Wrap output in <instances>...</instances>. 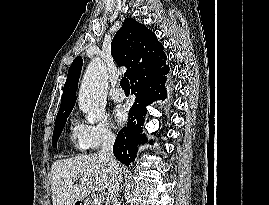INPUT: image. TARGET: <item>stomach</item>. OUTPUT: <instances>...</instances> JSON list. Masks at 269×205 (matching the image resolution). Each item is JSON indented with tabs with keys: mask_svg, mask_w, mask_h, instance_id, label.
I'll list each match as a JSON object with an SVG mask.
<instances>
[{
	"mask_svg": "<svg viewBox=\"0 0 269 205\" xmlns=\"http://www.w3.org/2000/svg\"><path fill=\"white\" fill-rule=\"evenodd\" d=\"M73 205H87L85 201L80 200V201H76Z\"/></svg>",
	"mask_w": 269,
	"mask_h": 205,
	"instance_id": "obj_1",
	"label": "stomach"
}]
</instances>
